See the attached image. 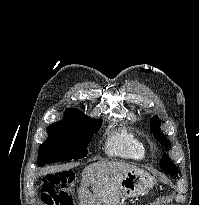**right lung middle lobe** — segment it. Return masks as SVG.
<instances>
[{"label":"right lung middle lobe","instance_id":"obj_1","mask_svg":"<svg viewBox=\"0 0 199 205\" xmlns=\"http://www.w3.org/2000/svg\"><path fill=\"white\" fill-rule=\"evenodd\" d=\"M64 114L61 121L51 124L47 129L48 138L38 151L39 167L85 157L87 145L102 123L101 119H91L75 108L68 109Z\"/></svg>","mask_w":199,"mask_h":205}]
</instances>
